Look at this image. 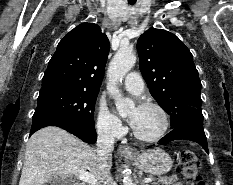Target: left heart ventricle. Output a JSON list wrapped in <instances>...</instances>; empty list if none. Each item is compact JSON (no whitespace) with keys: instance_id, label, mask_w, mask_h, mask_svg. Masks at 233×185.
<instances>
[{"instance_id":"1","label":"left heart ventricle","mask_w":233,"mask_h":185,"mask_svg":"<svg viewBox=\"0 0 233 185\" xmlns=\"http://www.w3.org/2000/svg\"><path fill=\"white\" fill-rule=\"evenodd\" d=\"M129 116L135 118V131L145 137L156 135L163 126L162 116L154 108H134Z\"/></svg>"}]
</instances>
